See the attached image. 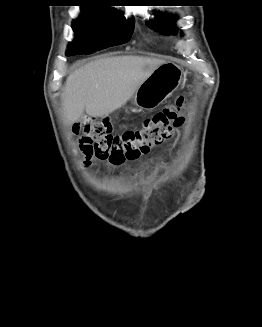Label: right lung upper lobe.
I'll return each mask as SVG.
<instances>
[{
	"label": "right lung upper lobe",
	"instance_id": "1",
	"mask_svg": "<svg viewBox=\"0 0 262 327\" xmlns=\"http://www.w3.org/2000/svg\"><path fill=\"white\" fill-rule=\"evenodd\" d=\"M85 3H90L88 5H84L82 10H101V11H110L117 13L116 10L108 7L107 5H103L106 3L105 0H84Z\"/></svg>",
	"mask_w": 262,
	"mask_h": 327
}]
</instances>
